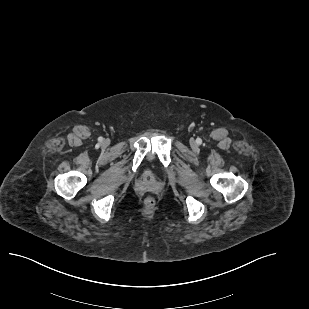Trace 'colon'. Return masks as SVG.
Instances as JSON below:
<instances>
[{
  "mask_svg": "<svg viewBox=\"0 0 309 309\" xmlns=\"http://www.w3.org/2000/svg\"><path fill=\"white\" fill-rule=\"evenodd\" d=\"M154 205H155V199H154V198H152V197H147V198L145 199V206H146V207L152 208V207H154Z\"/></svg>",
  "mask_w": 309,
  "mask_h": 309,
  "instance_id": "obj_1",
  "label": "colon"
}]
</instances>
